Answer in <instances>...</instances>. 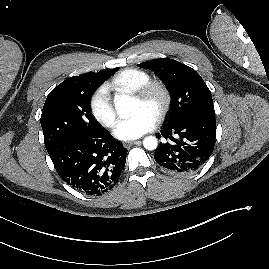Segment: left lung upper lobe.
I'll use <instances>...</instances> for the list:
<instances>
[{
    "instance_id": "5c2ea615",
    "label": "left lung upper lobe",
    "mask_w": 269,
    "mask_h": 269,
    "mask_svg": "<svg viewBox=\"0 0 269 269\" xmlns=\"http://www.w3.org/2000/svg\"><path fill=\"white\" fill-rule=\"evenodd\" d=\"M147 68L164 82L171 95L169 124L193 116H215L212 95L201 76L173 59H154L137 65Z\"/></svg>"
}]
</instances>
